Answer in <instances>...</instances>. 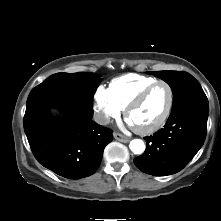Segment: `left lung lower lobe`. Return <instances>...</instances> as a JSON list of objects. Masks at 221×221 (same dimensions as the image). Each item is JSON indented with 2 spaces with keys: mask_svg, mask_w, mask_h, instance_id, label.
<instances>
[{
  "mask_svg": "<svg viewBox=\"0 0 221 221\" xmlns=\"http://www.w3.org/2000/svg\"><path fill=\"white\" fill-rule=\"evenodd\" d=\"M208 113L204 92L174 105L164 128L144 138L146 150L134 159L135 165L154 176H167L182 170L205 141Z\"/></svg>",
  "mask_w": 221,
  "mask_h": 221,
  "instance_id": "1",
  "label": "left lung lower lobe"
}]
</instances>
